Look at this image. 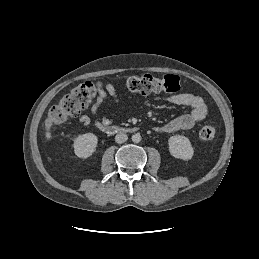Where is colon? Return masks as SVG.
Segmentation results:
<instances>
[{"label":"colon","instance_id":"5ec220e1","mask_svg":"<svg viewBox=\"0 0 259 259\" xmlns=\"http://www.w3.org/2000/svg\"><path fill=\"white\" fill-rule=\"evenodd\" d=\"M125 85L129 91L143 95L158 92L176 93L181 88L180 79L177 75L156 77L151 74H144L132 76L126 80ZM101 92L102 86L99 82L87 81L75 87L50 109L45 128L52 129L78 116ZM199 136L204 141L213 140L216 136L215 126L212 124L204 125L199 131Z\"/></svg>","mask_w":259,"mask_h":259}]
</instances>
